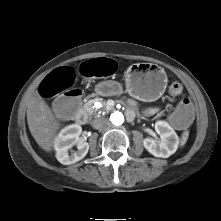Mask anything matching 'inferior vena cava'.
I'll list each match as a JSON object with an SVG mask.
<instances>
[{
    "instance_id": "1",
    "label": "inferior vena cava",
    "mask_w": 221,
    "mask_h": 221,
    "mask_svg": "<svg viewBox=\"0 0 221 221\" xmlns=\"http://www.w3.org/2000/svg\"><path fill=\"white\" fill-rule=\"evenodd\" d=\"M93 128L100 130L108 126L109 122L105 118H96L91 122Z\"/></svg>"
}]
</instances>
